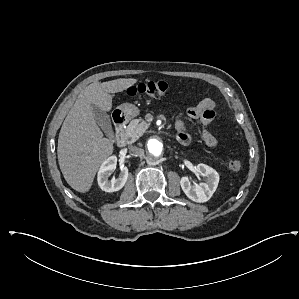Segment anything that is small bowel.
<instances>
[{"label": "small bowel", "instance_id": "c3829d8e", "mask_svg": "<svg viewBox=\"0 0 299 299\" xmlns=\"http://www.w3.org/2000/svg\"><path fill=\"white\" fill-rule=\"evenodd\" d=\"M216 103L211 98H204L199 101L195 106L189 107L186 110V114L189 118L199 120L205 127L202 132V138L206 145L210 148L217 146V140L215 136L207 129V126L215 118ZM176 137L179 143L182 145H188L190 143V135L186 132L184 123L182 120L176 122Z\"/></svg>", "mask_w": 299, "mask_h": 299}]
</instances>
